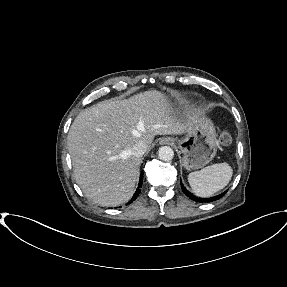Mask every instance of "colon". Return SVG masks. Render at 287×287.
Masks as SVG:
<instances>
[{"label":"colon","mask_w":287,"mask_h":287,"mask_svg":"<svg viewBox=\"0 0 287 287\" xmlns=\"http://www.w3.org/2000/svg\"><path fill=\"white\" fill-rule=\"evenodd\" d=\"M219 141L222 145L228 146L232 143V136L228 131H222L219 136Z\"/></svg>","instance_id":"colon-1"}]
</instances>
